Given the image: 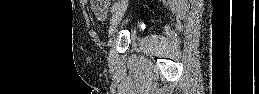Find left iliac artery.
<instances>
[{"mask_svg": "<svg viewBox=\"0 0 259 94\" xmlns=\"http://www.w3.org/2000/svg\"><path fill=\"white\" fill-rule=\"evenodd\" d=\"M120 6V2H116L112 7H111V12H115Z\"/></svg>", "mask_w": 259, "mask_h": 94, "instance_id": "44dca946", "label": "left iliac artery"}]
</instances>
